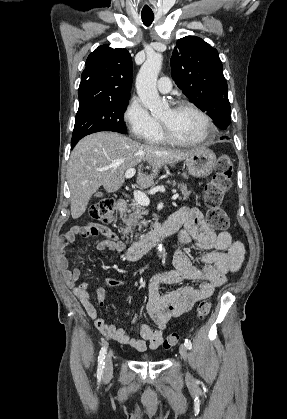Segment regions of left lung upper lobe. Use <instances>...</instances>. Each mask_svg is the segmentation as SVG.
Masks as SVG:
<instances>
[{"instance_id": "obj_1", "label": "left lung upper lobe", "mask_w": 287, "mask_h": 419, "mask_svg": "<svg viewBox=\"0 0 287 419\" xmlns=\"http://www.w3.org/2000/svg\"><path fill=\"white\" fill-rule=\"evenodd\" d=\"M170 61L177 86L219 129L227 130L231 107L217 50L199 37L186 36L177 41Z\"/></svg>"}]
</instances>
